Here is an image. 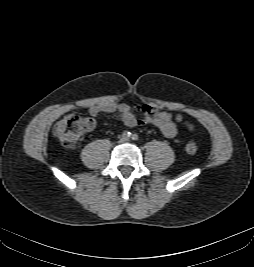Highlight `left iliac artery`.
Listing matches in <instances>:
<instances>
[{"mask_svg": "<svg viewBox=\"0 0 254 267\" xmlns=\"http://www.w3.org/2000/svg\"><path fill=\"white\" fill-rule=\"evenodd\" d=\"M131 138H132V140H135L136 141V140H138L139 137H138L137 134H132V137Z\"/></svg>", "mask_w": 254, "mask_h": 267, "instance_id": "obj_1", "label": "left iliac artery"}]
</instances>
